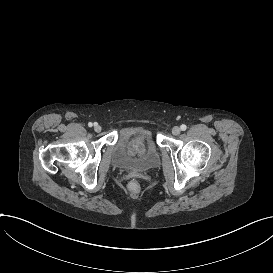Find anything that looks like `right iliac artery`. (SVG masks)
Instances as JSON below:
<instances>
[{
  "instance_id": "obj_1",
  "label": "right iliac artery",
  "mask_w": 273,
  "mask_h": 273,
  "mask_svg": "<svg viewBox=\"0 0 273 273\" xmlns=\"http://www.w3.org/2000/svg\"><path fill=\"white\" fill-rule=\"evenodd\" d=\"M95 125H97V123H94V126H95ZM88 126H89V127H92V126H93V123L89 122V123H88Z\"/></svg>"
}]
</instances>
